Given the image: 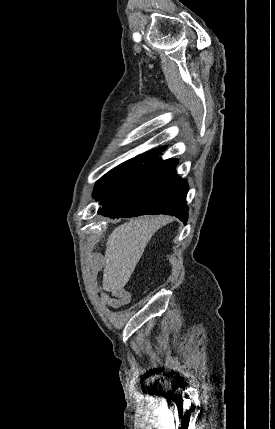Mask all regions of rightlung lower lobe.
Listing matches in <instances>:
<instances>
[{
  "label": "right lung lower lobe",
  "instance_id": "98d812e1",
  "mask_svg": "<svg viewBox=\"0 0 275 429\" xmlns=\"http://www.w3.org/2000/svg\"><path fill=\"white\" fill-rule=\"evenodd\" d=\"M177 163L156 157L144 164L131 181L100 202L98 213L111 218L167 214L186 223L188 184L175 175Z\"/></svg>",
  "mask_w": 275,
  "mask_h": 429
}]
</instances>
